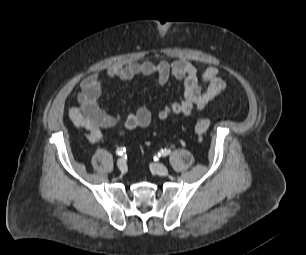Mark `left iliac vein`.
<instances>
[{
    "instance_id": "left-iliac-vein-1",
    "label": "left iliac vein",
    "mask_w": 306,
    "mask_h": 255,
    "mask_svg": "<svg viewBox=\"0 0 306 255\" xmlns=\"http://www.w3.org/2000/svg\"><path fill=\"white\" fill-rule=\"evenodd\" d=\"M150 169L158 174V175H161V176H166L168 174V168L163 165V164H160V163H153L150 165Z\"/></svg>"
}]
</instances>
